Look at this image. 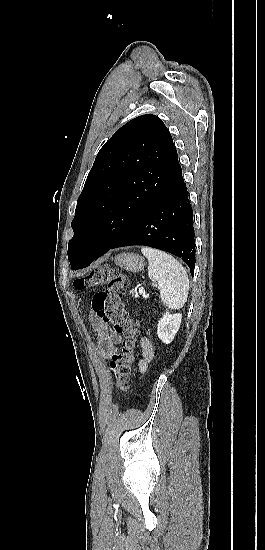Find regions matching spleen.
I'll return each mask as SVG.
<instances>
[{
  "instance_id": "3e777b00",
  "label": "spleen",
  "mask_w": 265,
  "mask_h": 550,
  "mask_svg": "<svg viewBox=\"0 0 265 550\" xmlns=\"http://www.w3.org/2000/svg\"><path fill=\"white\" fill-rule=\"evenodd\" d=\"M148 259V276L160 290V298L169 309H180L187 301L189 279L184 267L171 255L151 247H142Z\"/></svg>"
}]
</instances>
